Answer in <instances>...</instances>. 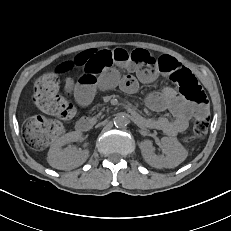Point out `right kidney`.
Returning <instances> with one entry per match:
<instances>
[{
    "mask_svg": "<svg viewBox=\"0 0 231 231\" xmlns=\"http://www.w3.org/2000/svg\"><path fill=\"white\" fill-rule=\"evenodd\" d=\"M81 138L80 132H69L57 139L48 152V163L50 166L60 170H71L82 165L89 156L88 150H78L75 147H62L71 142H76Z\"/></svg>",
    "mask_w": 231,
    "mask_h": 231,
    "instance_id": "right-kidney-1",
    "label": "right kidney"
}]
</instances>
